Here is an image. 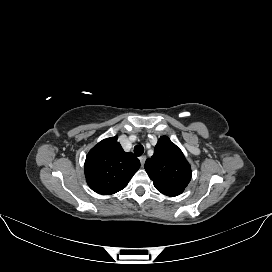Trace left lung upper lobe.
<instances>
[{"label": "left lung upper lobe", "mask_w": 272, "mask_h": 272, "mask_svg": "<svg viewBox=\"0 0 272 272\" xmlns=\"http://www.w3.org/2000/svg\"><path fill=\"white\" fill-rule=\"evenodd\" d=\"M145 170L156 189L170 197L181 194L192 175L182 151L167 136L158 140L153 156L145 162Z\"/></svg>", "instance_id": "left-lung-upper-lobe-1"}]
</instances>
